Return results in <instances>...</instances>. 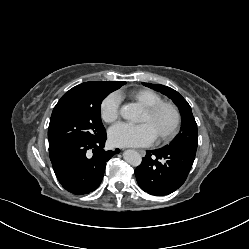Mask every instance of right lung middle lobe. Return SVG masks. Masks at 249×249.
Masks as SVG:
<instances>
[{
    "label": "right lung middle lobe",
    "mask_w": 249,
    "mask_h": 249,
    "mask_svg": "<svg viewBox=\"0 0 249 249\" xmlns=\"http://www.w3.org/2000/svg\"><path fill=\"white\" fill-rule=\"evenodd\" d=\"M111 92L102 87L83 89L52 113L48 128L49 152L68 144L92 141L105 134L100 105Z\"/></svg>",
    "instance_id": "right-lung-middle-lobe-1"
}]
</instances>
